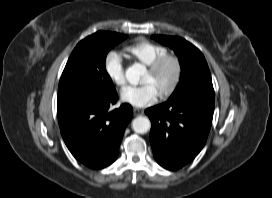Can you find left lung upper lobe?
<instances>
[{
  "mask_svg": "<svg viewBox=\"0 0 272 198\" xmlns=\"http://www.w3.org/2000/svg\"><path fill=\"white\" fill-rule=\"evenodd\" d=\"M152 38L169 46L179 58L180 81L170 98L196 91L214 92L207 62L199 49L180 37L154 35Z\"/></svg>",
  "mask_w": 272,
  "mask_h": 198,
  "instance_id": "obj_1",
  "label": "left lung upper lobe"
}]
</instances>
